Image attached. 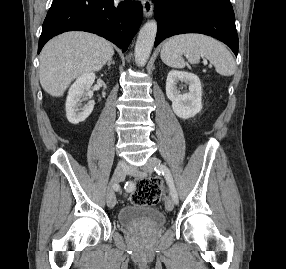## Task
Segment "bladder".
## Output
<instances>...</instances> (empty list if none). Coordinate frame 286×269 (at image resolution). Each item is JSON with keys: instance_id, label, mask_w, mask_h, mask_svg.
I'll list each match as a JSON object with an SVG mask.
<instances>
[{"instance_id": "31cf9c89", "label": "bladder", "mask_w": 286, "mask_h": 269, "mask_svg": "<svg viewBox=\"0 0 286 269\" xmlns=\"http://www.w3.org/2000/svg\"><path fill=\"white\" fill-rule=\"evenodd\" d=\"M117 221L131 229H158L165 225L166 217L159 209L133 203L119 209Z\"/></svg>"}]
</instances>
